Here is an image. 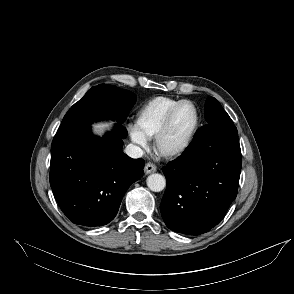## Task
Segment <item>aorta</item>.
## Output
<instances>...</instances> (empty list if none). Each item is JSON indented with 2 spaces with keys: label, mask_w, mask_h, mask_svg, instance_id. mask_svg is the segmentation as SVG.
Here are the masks:
<instances>
[{
  "label": "aorta",
  "mask_w": 294,
  "mask_h": 294,
  "mask_svg": "<svg viewBox=\"0 0 294 294\" xmlns=\"http://www.w3.org/2000/svg\"><path fill=\"white\" fill-rule=\"evenodd\" d=\"M146 183L151 191L160 192L166 186V179L161 174L154 173L148 176Z\"/></svg>",
  "instance_id": "762f6f07"
}]
</instances>
